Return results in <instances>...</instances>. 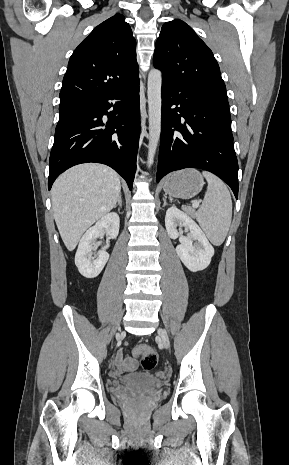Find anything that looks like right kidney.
I'll return each mask as SVG.
<instances>
[{
    "label": "right kidney",
    "instance_id": "ca27d5eb",
    "mask_svg": "<svg viewBox=\"0 0 289 465\" xmlns=\"http://www.w3.org/2000/svg\"><path fill=\"white\" fill-rule=\"evenodd\" d=\"M119 225V215L112 212L105 214L85 232L75 255V265L81 275L86 278H95L101 273L109 259V254L106 252L109 243L98 252L97 256H93L92 251L95 250V240L103 232L109 235L110 238H116L119 233Z\"/></svg>",
    "mask_w": 289,
    "mask_h": 465
}]
</instances>
